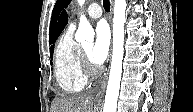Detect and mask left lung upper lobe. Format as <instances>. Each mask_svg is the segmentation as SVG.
<instances>
[{
    "label": "left lung upper lobe",
    "mask_w": 193,
    "mask_h": 112,
    "mask_svg": "<svg viewBox=\"0 0 193 112\" xmlns=\"http://www.w3.org/2000/svg\"><path fill=\"white\" fill-rule=\"evenodd\" d=\"M71 0H57L56 4L53 8L52 17H51V23H50V43L53 41L55 36V28H56V22L59 16L60 11L67 7V5L70 3Z\"/></svg>",
    "instance_id": "5c2ea615"
}]
</instances>
